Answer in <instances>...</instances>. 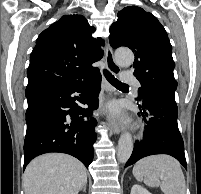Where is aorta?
<instances>
[{"mask_svg": "<svg viewBox=\"0 0 201 194\" xmlns=\"http://www.w3.org/2000/svg\"><path fill=\"white\" fill-rule=\"evenodd\" d=\"M115 60L120 66H130L134 62V55L131 50L120 48L115 51ZM133 151L132 136L124 132L118 141L117 159L121 163L127 162Z\"/></svg>", "mask_w": 201, "mask_h": 194, "instance_id": "1", "label": "aorta"}]
</instances>
